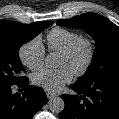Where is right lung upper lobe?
<instances>
[{"label": "right lung upper lobe", "instance_id": "cb5924a9", "mask_svg": "<svg viewBox=\"0 0 119 119\" xmlns=\"http://www.w3.org/2000/svg\"><path fill=\"white\" fill-rule=\"evenodd\" d=\"M0 22H5V23H7V24H10L11 22H14V21L0 20Z\"/></svg>", "mask_w": 119, "mask_h": 119}]
</instances>
